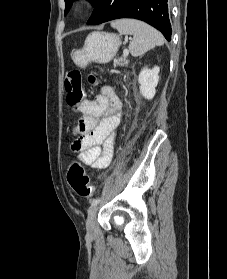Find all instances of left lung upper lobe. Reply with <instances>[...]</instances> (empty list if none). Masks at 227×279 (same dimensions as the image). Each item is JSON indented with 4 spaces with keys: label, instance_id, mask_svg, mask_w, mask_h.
Returning <instances> with one entry per match:
<instances>
[{
    "label": "left lung upper lobe",
    "instance_id": "left-lung-upper-lobe-1",
    "mask_svg": "<svg viewBox=\"0 0 227 279\" xmlns=\"http://www.w3.org/2000/svg\"><path fill=\"white\" fill-rule=\"evenodd\" d=\"M75 0H65V4H66V8H65V14H67V12L70 10V8H71V5H72V3L74 2ZM91 3H92V5L95 7V5L97 4V2L99 1V0H89Z\"/></svg>",
    "mask_w": 227,
    "mask_h": 279
}]
</instances>
